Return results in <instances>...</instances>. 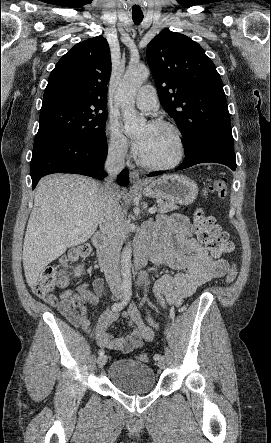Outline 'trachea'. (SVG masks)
<instances>
[{"mask_svg": "<svg viewBox=\"0 0 271 443\" xmlns=\"http://www.w3.org/2000/svg\"><path fill=\"white\" fill-rule=\"evenodd\" d=\"M128 3L130 4L131 12H132V19L136 25L140 24L143 20L144 11L141 7V1L140 0H128Z\"/></svg>", "mask_w": 271, "mask_h": 443, "instance_id": "obj_1", "label": "trachea"}]
</instances>
